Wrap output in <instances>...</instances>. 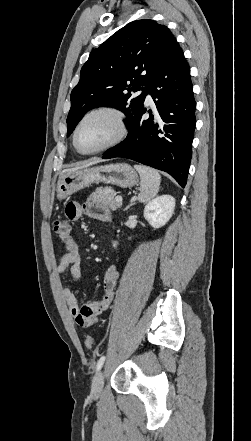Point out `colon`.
I'll return each mask as SVG.
<instances>
[{"instance_id": "colon-1", "label": "colon", "mask_w": 251, "mask_h": 441, "mask_svg": "<svg viewBox=\"0 0 251 441\" xmlns=\"http://www.w3.org/2000/svg\"><path fill=\"white\" fill-rule=\"evenodd\" d=\"M53 231L56 237L64 243H68L71 240V226L67 220L56 219L53 223ZM95 340L93 336L88 335L85 338V346L88 349H92Z\"/></svg>"}]
</instances>
